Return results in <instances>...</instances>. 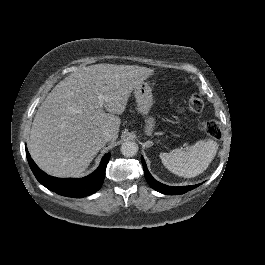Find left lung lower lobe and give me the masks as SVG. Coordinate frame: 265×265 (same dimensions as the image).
I'll return each mask as SVG.
<instances>
[{"label":"left lung lower lobe","mask_w":265,"mask_h":265,"mask_svg":"<svg viewBox=\"0 0 265 265\" xmlns=\"http://www.w3.org/2000/svg\"><path fill=\"white\" fill-rule=\"evenodd\" d=\"M142 164H143V169H144V174H145V178L148 182V184L155 190H157L158 192H161L163 194H168V195H178V194H183L186 193L194 188H196L198 185H191V186H180V187H171V186H167L164 185L158 181H156L151 174L149 173L147 166L145 164V161L142 157Z\"/></svg>","instance_id":"1"}]
</instances>
